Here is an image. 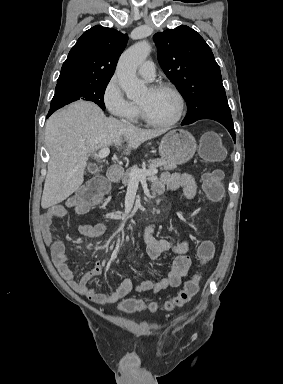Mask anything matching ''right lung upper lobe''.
Here are the masks:
<instances>
[{
    "instance_id": "1",
    "label": "right lung upper lobe",
    "mask_w": 283,
    "mask_h": 384,
    "mask_svg": "<svg viewBox=\"0 0 283 384\" xmlns=\"http://www.w3.org/2000/svg\"><path fill=\"white\" fill-rule=\"evenodd\" d=\"M127 40V34L112 28H90L70 50L57 86L110 81Z\"/></svg>"
}]
</instances>
